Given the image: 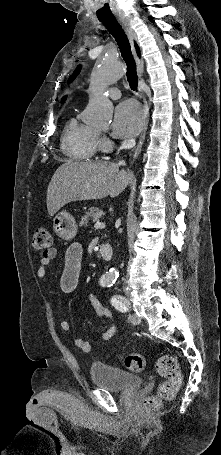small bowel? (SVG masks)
Here are the masks:
<instances>
[{
  "label": "small bowel",
  "instance_id": "c3829d8e",
  "mask_svg": "<svg viewBox=\"0 0 221 455\" xmlns=\"http://www.w3.org/2000/svg\"><path fill=\"white\" fill-rule=\"evenodd\" d=\"M57 249L50 248L43 251L39 266L36 270V275L39 279H45L47 276V267L50 265L51 261L56 257ZM83 263V248L80 244H72L69 246L65 253L64 268L61 276L60 285L66 294L72 293L79 282L81 270ZM89 301L95 310L96 314L100 318H106L112 320L111 311L104 307L99 301L98 297L95 294L89 295ZM60 327L63 331L68 332L70 330V323L68 321H62ZM116 328L114 325H111L106 331L100 335V339L107 341L114 336ZM76 347L80 348L84 352H90L92 350V344L90 341L84 340L82 338H76L74 340Z\"/></svg>",
  "mask_w": 221,
  "mask_h": 455
}]
</instances>
